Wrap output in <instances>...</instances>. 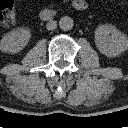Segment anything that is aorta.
Wrapping results in <instances>:
<instances>
[{
	"label": "aorta",
	"instance_id": "1",
	"mask_svg": "<svg viewBox=\"0 0 128 128\" xmlns=\"http://www.w3.org/2000/svg\"><path fill=\"white\" fill-rule=\"evenodd\" d=\"M59 26L64 31H69L73 28V19L69 16H63L60 18Z\"/></svg>",
	"mask_w": 128,
	"mask_h": 128
}]
</instances>
